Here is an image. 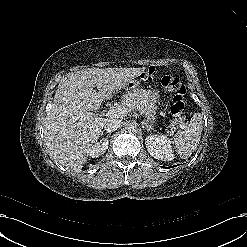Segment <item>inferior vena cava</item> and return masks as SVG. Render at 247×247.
<instances>
[{
  "label": "inferior vena cava",
  "mask_w": 247,
  "mask_h": 247,
  "mask_svg": "<svg viewBox=\"0 0 247 247\" xmlns=\"http://www.w3.org/2000/svg\"><path fill=\"white\" fill-rule=\"evenodd\" d=\"M121 126V121L116 118L108 119L104 124V130L111 133Z\"/></svg>",
  "instance_id": "inferior-vena-cava-1"
}]
</instances>
